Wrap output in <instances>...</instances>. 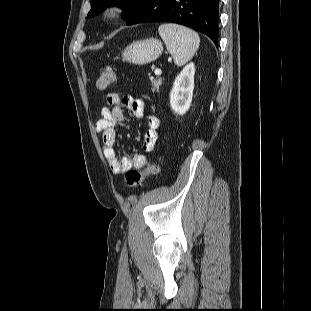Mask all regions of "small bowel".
Returning a JSON list of instances; mask_svg holds the SVG:
<instances>
[{
	"label": "small bowel",
	"instance_id": "c3829d8e",
	"mask_svg": "<svg viewBox=\"0 0 311 311\" xmlns=\"http://www.w3.org/2000/svg\"><path fill=\"white\" fill-rule=\"evenodd\" d=\"M107 105L101 110V115L95 123V129L102 135L104 155L107 159L110 170L114 174H123L131 169H142L147 161L143 154H136L132 158H119L115 149L117 124L125 121L123 108L129 109L134 116L143 117L144 101L134 98L131 95L120 93H110L106 98ZM147 130L144 135L143 147L147 152H151L158 139L159 119L155 115L145 116Z\"/></svg>",
	"mask_w": 311,
	"mask_h": 311
}]
</instances>
